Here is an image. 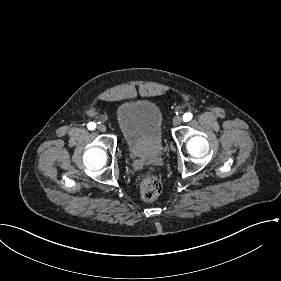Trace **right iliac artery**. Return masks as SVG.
Wrapping results in <instances>:
<instances>
[{
  "label": "right iliac artery",
  "mask_w": 281,
  "mask_h": 281,
  "mask_svg": "<svg viewBox=\"0 0 281 281\" xmlns=\"http://www.w3.org/2000/svg\"><path fill=\"white\" fill-rule=\"evenodd\" d=\"M95 128H96V124L95 123L91 122V123L88 124V129L89 130H94Z\"/></svg>",
  "instance_id": "1"
}]
</instances>
